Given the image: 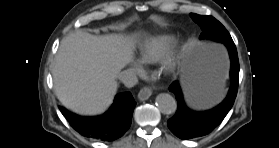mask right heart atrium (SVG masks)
Segmentation results:
<instances>
[{"mask_svg":"<svg viewBox=\"0 0 279 148\" xmlns=\"http://www.w3.org/2000/svg\"><path fill=\"white\" fill-rule=\"evenodd\" d=\"M133 69H134L136 72H140V71H141L140 66L137 65V64H134V65H133Z\"/></svg>","mask_w":279,"mask_h":148,"instance_id":"obj_1","label":"right heart atrium"}]
</instances>
